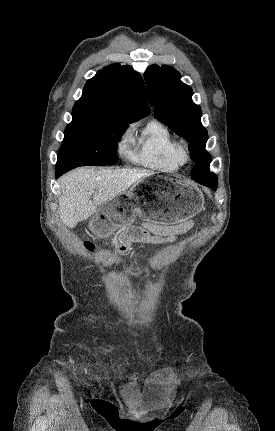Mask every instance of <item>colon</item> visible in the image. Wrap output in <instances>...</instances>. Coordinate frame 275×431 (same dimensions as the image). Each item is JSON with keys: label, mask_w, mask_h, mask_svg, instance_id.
<instances>
[{"label": "colon", "mask_w": 275, "mask_h": 431, "mask_svg": "<svg viewBox=\"0 0 275 431\" xmlns=\"http://www.w3.org/2000/svg\"><path fill=\"white\" fill-rule=\"evenodd\" d=\"M86 247H87L88 249H92V248H93V245H92L90 242H86Z\"/></svg>", "instance_id": "1"}]
</instances>
